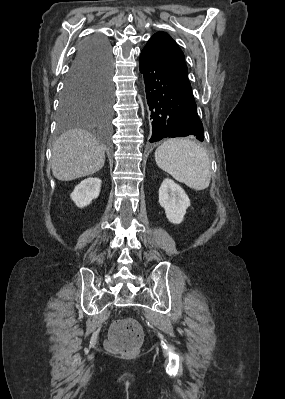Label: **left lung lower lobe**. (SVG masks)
Listing matches in <instances>:
<instances>
[{"label":"left lung lower lobe","instance_id":"obj_1","mask_svg":"<svg viewBox=\"0 0 285 399\" xmlns=\"http://www.w3.org/2000/svg\"><path fill=\"white\" fill-rule=\"evenodd\" d=\"M139 69L144 75L151 111L152 136L149 142L188 135L203 141V125L197 114L191 86L145 49L141 51Z\"/></svg>","mask_w":285,"mask_h":399}]
</instances>
